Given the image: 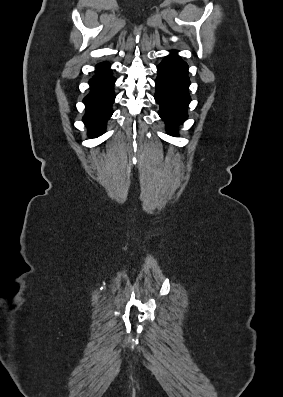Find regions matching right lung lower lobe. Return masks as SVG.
<instances>
[{
    "mask_svg": "<svg viewBox=\"0 0 283 397\" xmlns=\"http://www.w3.org/2000/svg\"><path fill=\"white\" fill-rule=\"evenodd\" d=\"M109 63L97 65L96 75L89 81L90 93L84 97L86 105L83 122L88 128V135L96 138L105 132L106 123L112 116V104L115 92L112 89L115 78L109 75Z\"/></svg>",
    "mask_w": 283,
    "mask_h": 397,
    "instance_id": "right-lung-lower-lobe-1",
    "label": "right lung lower lobe"
}]
</instances>
